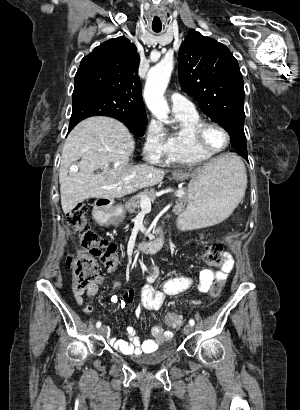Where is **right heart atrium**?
<instances>
[{
    "label": "right heart atrium",
    "instance_id": "d8ad5b80",
    "mask_svg": "<svg viewBox=\"0 0 300 410\" xmlns=\"http://www.w3.org/2000/svg\"><path fill=\"white\" fill-rule=\"evenodd\" d=\"M166 133L163 127L151 119L146 128L144 154L153 161L159 160L164 152Z\"/></svg>",
    "mask_w": 300,
    "mask_h": 410
}]
</instances>
